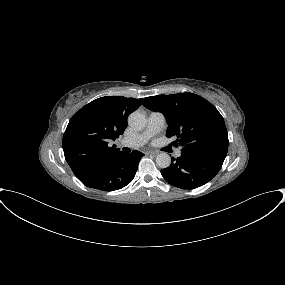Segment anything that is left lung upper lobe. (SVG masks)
<instances>
[{
	"mask_svg": "<svg viewBox=\"0 0 285 285\" xmlns=\"http://www.w3.org/2000/svg\"><path fill=\"white\" fill-rule=\"evenodd\" d=\"M143 105L164 114L166 136L176 138L182 153L226 157L228 134L224 119L206 99L193 93L163 94L146 97Z\"/></svg>",
	"mask_w": 285,
	"mask_h": 285,
	"instance_id": "1",
	"label": "left lung upper lobe"
}]
</instances>
